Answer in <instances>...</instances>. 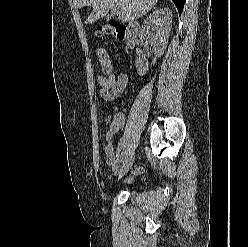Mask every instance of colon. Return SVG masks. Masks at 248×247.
Returning <instances> with one entry per match:
<instances>
[{
	"label": "colon",
	"instance_id": "colon-1",
	"mask_svg": "<svg viewBox=\"0 0 248 247\" xmlns=\"http://www.w3.org/2000/svg\"><path fill=\"white\" fill-rule=\"evenodd\" d=\"M111 35L118 39H125V29L122 23L119 21H109L108 23L101 25L96 30V36L102 37ZM98 62L106 74H112L113 67L104 49L99 48L97 51Z\"/></svg>",
	"mask_w": 248,
	"mask_h": 247
}]
</instances>
